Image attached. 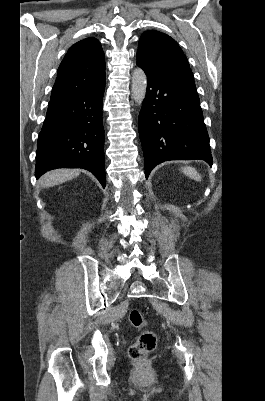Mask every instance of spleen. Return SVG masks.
Returning a JSON list of instances; mask_svg holds the SVG:
<instances>
[{"label": "spleen", "mask_w": 265, "mask_h": 401, "mask_svg": "<svg viewBox=\"0 0 265 401\" xmlns=\"http://www.w3.org/2000/svg\"><path fill=\"white\" fill-rule=\"evenodd\" d=\"M181 170L186 176H190V178H194V180H202L201 174L197 172L196 168H192V166H183Z\"/></svg>", "instance_id": "spleen-1"}]
</instances>
